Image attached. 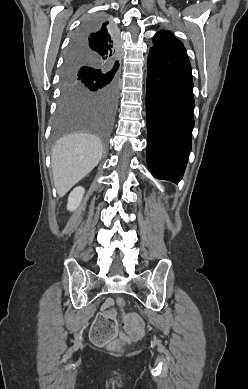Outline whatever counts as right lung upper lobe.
<instances>
[{"label": "right lung upper lobe", "instance_id": "right-lung-upper-lobe-1", "mask_svg": "<svg viewBox=\"0 0 248 389\" xmlns=\"http://www.w3.org/2000/svg\"><path fill=\"white\" fill-rule=\"evenodd\" d=\"M75 43L80 44L76 47L79 51L107 64L112 71L117 72L119 68L117 59L120 54V49L119 44H115L111 36L109 22L103 23L98 30L87 34L80 41Z\"/></svg>", "mask_w": 248, "mask_h": 389}]
</instances>
